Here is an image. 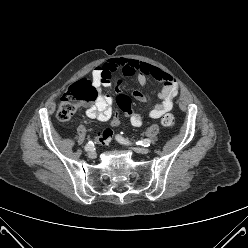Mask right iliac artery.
<instances>
[{
    "label": "right iliac artery",
    "instance_id": "obj_1",
    "mask_svg": "<svg viewBox=\"0 0 248 248\" xmlns=\"http://www.w3.org/2000/svg\"><path fill=\"white\" fill-rule=\"evenodd\" d=\"M93 147H94V143H93L92 141H89V142L85 145L84 149H85V151H90V150L93 149Z\"/></svg>",
    "mask_w": 248,
    "mask_h": 248
}]
</instances>
